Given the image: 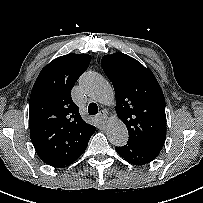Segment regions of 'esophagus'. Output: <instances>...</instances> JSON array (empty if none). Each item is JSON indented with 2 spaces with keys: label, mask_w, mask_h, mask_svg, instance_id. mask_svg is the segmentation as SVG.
Listing matches in <instances>:
<instances>
[{
  "label": "esophagus",
  "mask_w": 203,
  "mask_h": 203,
  "mask_svg": "<svg viewBox=\"0 0 203 203\" xmlns=\"http://www.w3.org/2000/svg\"><path fill=\"white\" fill-rule=\"evenodd\" d=\"M98 118L102 121V122H105L107 120V113L106 111L104 110H101L99 113H98Z\"/></svg>",
  "instance_id": "obj_1"
}]
</instances>
